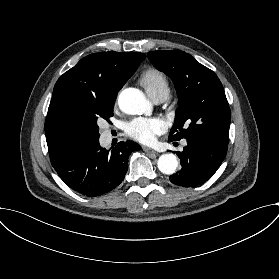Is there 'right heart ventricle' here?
<instances>
[{"label":"right heart ventricle","mask_w":279,"mask_h":279,"mask_svg":"<svg viewBox=\"0 0 279 279\" xmlns=\"http://www.w3.org/2000/svg\"><path fill=\"white\" fill-rule=\"evenodd\" d=\"M140 80L148 93L158 91L161 88H169L167 77L155 67L144 70Z\"/></svg>","instance_id":"e07e8e85"}]
</instances>
